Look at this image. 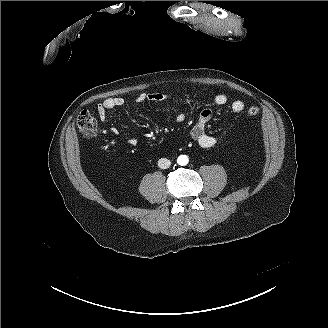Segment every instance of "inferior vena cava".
<instances>
[{
	"mask_svg": "<svg viewBox=\"0 0 328 328\" xmlns=\"http://www.w3.org/2000/svg\"><path fill=\"white\" fill-rule=\"evenodd\" d=\"M170 165H171V162L167 158H161L158 160V166L161 169H167L170 167Z\"/></svg>",
	"mask_w": 328,
	"mask_h": 328,
	"instance_id": "1",
	"label": "inferior vena cava"
}]
</instances>
